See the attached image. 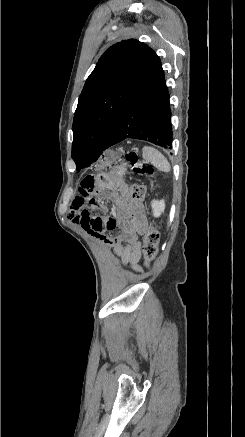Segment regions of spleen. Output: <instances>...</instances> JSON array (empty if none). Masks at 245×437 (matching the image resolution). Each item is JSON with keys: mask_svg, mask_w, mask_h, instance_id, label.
<instances>
[{"mask_svg": "<svg viewBox=\"0 0 245 437\" xmlns=\"http://www.w3.org/2000/svg\"><path fill=\"white\" fill-rule=\"evenodd\" d=\"M142 156L145 160L151 162L158 170L170 172L171 166L167 158L157 149L151 146H144Z\"/></svg>", "mask_w": 245, "mask_h": 437, "instance_id": "spleen-1", "label": "spleen"}]
</instances>
